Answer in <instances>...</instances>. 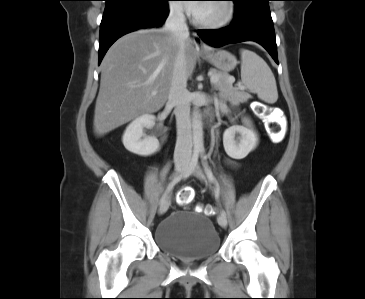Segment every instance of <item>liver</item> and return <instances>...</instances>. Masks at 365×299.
Segmentation results:
<instances>
[{
  "instance_id": "1",
  "label": "liver",
  "mask_w": 365,
  "mask_h": 299,
  "mask_svg": "<svg viewBox=\"0 0 365 299\" xmlns=\"http://www.w3.org/2000/svg\"><path fill=\"white\" fill-rule=\"evenodd\" d=\"M178 43L164 28L141 29L118 39L101 64V81L94 112V131L102 136L166 103ZM193 41H185L187 78L196 65ZM156 94L153 95L152 93Z\"/></svg>"
}]
</instances>
